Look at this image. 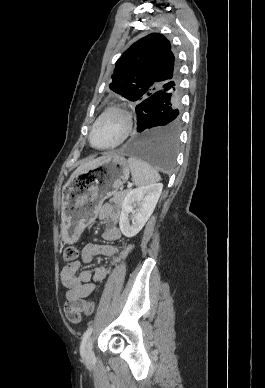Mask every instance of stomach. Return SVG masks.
Masks as SVG:
<instances>
[{
    "mask_svg": "<svg viewBox=\"0 0 265 388\" xmlns=\"http://www.w3.org/2000/svg\"><path fill=\"white\" fill-rule=\"evenodd\" d=\"M129 175L128 161L113 154L72 177L62 191V239L76 241L95 220L104 200L114 195Z\"/></svg>",
    "mask_w": 265,
    "mask_h": 388,
    "instance_id": "obj_1",
    "label": "stomach"
}]
</instances>
